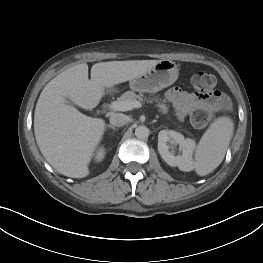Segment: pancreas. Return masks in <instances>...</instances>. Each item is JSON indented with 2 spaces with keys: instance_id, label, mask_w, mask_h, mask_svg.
Segmentation results:
<instances>
[{
  "instance_id": "pancreas-1",
  "label": "pancreas",
  "mask_w": 263,
  "mask_h": 263,
  "mask_svg": "<svg viewBox=\"0 0 263 263\" xmlns=\"http://www.w3.org/2000/svg\"><path fill=\"white\" fill-rule=\"evenodd\" d=\"M144 96L142 93L136 94L133 91H126L123 93L119 98H117L118 101H143ZM155 100L157 102V107L159 108V111L162 112L163 114L168 113V106L165 104V100L159 101L158 98H154L150 100L151 102Z\"/></svg>"
}]
</instances>
